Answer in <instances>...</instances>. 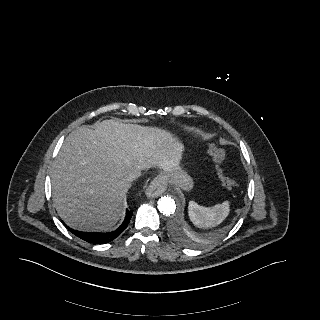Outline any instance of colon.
<instances>
[{
	"label": "colon",
	"mask_w": 320,
	"mask_h": 320,
	"mask_svg": "<svg viewBox=\"0 0 320 320\" xmlns=\"http://www.w3.org/2000/svg\"><path fill=\"white\" fill-rule=\"evenodd\" d=\"M212 155L216 162L217 175L221 184L228 189H231L237 185L236 181L231 178L223 168V162L225 159V154L222 149L213 146Z\"/></svg>",
	"instance_id": "5ec220e1"
}]
</instances>
